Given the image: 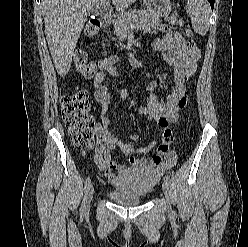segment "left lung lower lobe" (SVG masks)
<instances>
[{"label": "left lung lower lobe", "mask_w": 248, "mask_h": 247, "mask_svg": "<svg viewBox=\"0 0 248 247\" xmlns=\"http://www.w3.org/2000/svg\"><path fill=\"white\" fill-rule=\"evenodd\" d=\"M208 1H209L210 5H211V7L213 9V7H214V0H208Z\"/></svg>", "instance_id": "obj_1"}]
</instances>
